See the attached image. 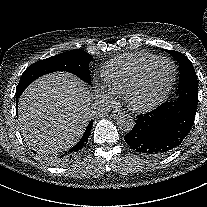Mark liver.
<instances>
[{
  "label": "liver",
  "instance_id": "1",
  "mask_svg": "<svg viewBox=\"0 0 207 207\" xmlns=\"http://www.w3.org/2000/svg\"><path fill=\"white\" fill-rule=\"evenodd\" d=\"M89 92L77 77L56 72L34 81L22 94L18 119L25 142L42 153L71 148L94 117Z\"/></svg>",
  "mask_w": 207,
  "mask_h": 207
}]
</instances>
